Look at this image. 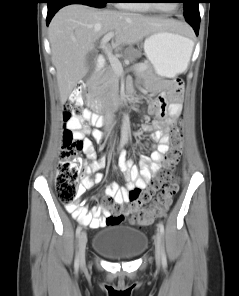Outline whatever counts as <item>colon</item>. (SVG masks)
Returning a JSON list of instances; mask_svg holds the SVG:
<instances>
[{
	"mask_svg": "<svg viewBox=\"0 0 239 296\" xmlns=\"http://www.w3.org/2000/svg\"><path fill=\"white\" fill-rule=\"evenodd\" d=\"M83 108L70 100L66 103L63 119L67 127L63 134L61 145V160L57 168L56 188L61 201L70 209L78 219H85L79 215L77 201L79 197V178L82 167L80 153L84 150V141L74 134L70 128L71 121H77L79 127L85 128L87 121L84 118ZM183 132L178 126L171 132V150L167 157L169 170L164 173L151 188L145 192L134 193V200L131 202V221L139 225H148L156 215L162 214L172 204L173 197L178 191V182L174 175L175 166L179 160L183 147ZM93 178V176H91ZM151 201L149 209H139L145 202ZM102 205L109 212L105 220L106 225L119 224L124 220L121 213V206L111 199H103Z\"/></svg>",
	"mask_w": 239,
	"mask_h": 296,
	"instance_id": "1",
	"label": "colon"
}]
</instances>
